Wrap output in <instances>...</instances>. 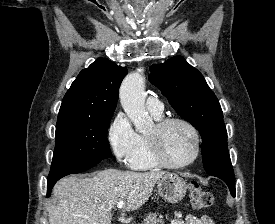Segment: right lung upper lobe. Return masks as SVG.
Wrapping results in <instances>:
<instances>
[{
	"instance_id": "1",
	"label": "right lung upper lobe",
	"mask_w": 275,
	"mask_h": 224,
	"mask_svg": "<svg viewBox=\"0 0 275 224\" xmlns=\"http://www.w3.org/2000/svg\"><path fill=\"white\" fill-rule=\"evenodd\" d=\"M127 68L106 58L97 59L83 69L66 92L58 121L81 118H103L113 115L119 86Z\"/></svg>"
}]
</instances>
